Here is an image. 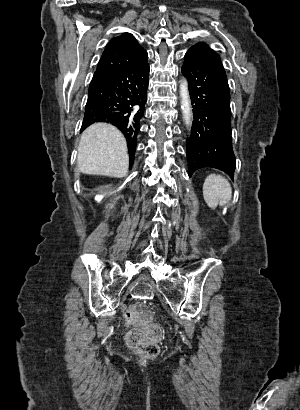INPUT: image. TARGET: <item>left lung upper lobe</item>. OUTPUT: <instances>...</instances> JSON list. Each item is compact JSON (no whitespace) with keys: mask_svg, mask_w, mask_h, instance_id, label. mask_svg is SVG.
<instances>
[{"mask_svg":"<svg viewBox=\"0 0 300 410\" xmlns=\"http://www.w3.org/2000/svg\"><path fill=\"white\" fill-rule=\"evenodd\" d=\"M189 54L205 61L210 62L216 65H219L223 68L220 56L215 53L208 45L205 43H197L191 47L188 52ZM224 69V68H223Z\"/></svg>","mask_w":300,"mask_h":410,"instance_id":"obj_1","label":"left lung upper lobe"}]
</instances>
